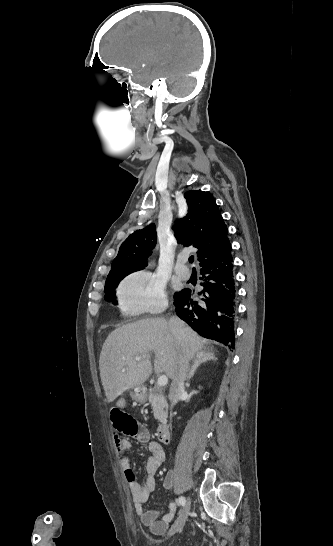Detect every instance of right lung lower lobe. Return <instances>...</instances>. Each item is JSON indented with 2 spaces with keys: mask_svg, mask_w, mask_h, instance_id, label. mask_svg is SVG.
Returning <instances> with one entry per match:
<instances>
[{
  "mask_svg": "<svg viewBox=\"0 0 333 546\" xmlns=\"http://www.w3.org/2000/svg\"><path fill=\"white\" fill-rule=\"evenodd\" d=\"M231 245L208 263L200 264V301H193L191 290L183 289L174 297L175 312L201 336L216 340L230 349L235 345L236 284Z\"/></svg>",
  "mask_w": 333,
  "mask_h": 546,
  "instance_id": "right-lung-lower-lobe-1",
  "label": "right lung lower lobe"
}]
</instances>
